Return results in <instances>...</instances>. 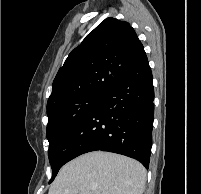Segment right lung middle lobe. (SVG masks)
<instances>
[{
    "mask_svg": "<svg viewBox=\"0 0 201 194\" xmlns=\"http://www.w3.org/2000/svg\"><path fill=\"white\" fill-rule=\"evenodd\" d=\"M102 98V95L81 97L55 107L48 114L46 136L49 141V161L52 178L56 177L59 167L54 159V152L60 146L63 137L77 124Z\"/></svg>",
    "mask_w": 201,
    "mask_h": 194,
    "instance_id": "dd1d6c3e",
    "label": "right lung middle lobe"
}]
</instances>
